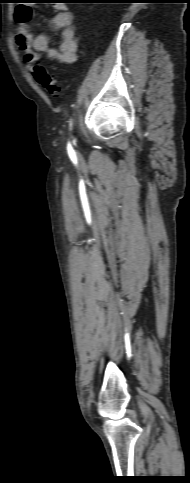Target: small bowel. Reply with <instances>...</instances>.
Segmentation results:
<instances>
[{
    "instance_id": "small-bowel-1",
    "label": "small bowel",
    "mask_w": 190,
    "mask_h": 483,
    "mask_svg": "<svg viewBox=\"0 0 190 483\" xmlns=\"http://www.w3.org/2000/svg\"><path fill=\"white\" fill-rule=\"evenodd\" d=\"M32 8L28 4H20L15 9V20L19 24L15 35V44L23 54L29 65L40 59L44 53L49 59L61 64H72L77 60L78 44L75 39L76 28L73 24V15L63 6H58V12L50 18L52 28L60 31V42L57 47L49 46V38L45 34H33L28 27Z\"/></svg>"
}]
</instances>
